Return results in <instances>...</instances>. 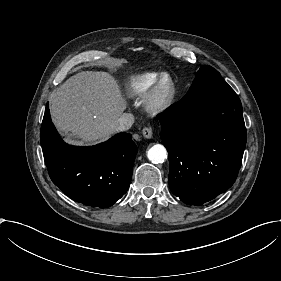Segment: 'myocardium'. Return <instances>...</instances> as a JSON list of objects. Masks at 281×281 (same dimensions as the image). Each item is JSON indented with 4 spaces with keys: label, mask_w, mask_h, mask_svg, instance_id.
<instances>
[{
    "label": "myocardium",
    "mask_w": 281,
    "mask_h": 281,
    "mask_svg": "<svg viewBox=\"0 0 281 281\" xmlns=\"http://www.w3.org/2000/svg\"><path fill=\"white\" fill-rule=\"evenodd\" d=\"M165 83H168L166 91L161 92ZM176 94V85L169 75H161L151 87L146 100V108L151 113H160L166 110L173 102Z\"/></svg>",
    "instance_id": "myocardium-1"
}]
</instances>
